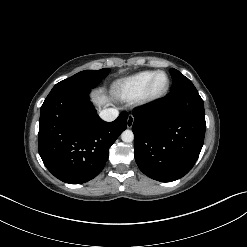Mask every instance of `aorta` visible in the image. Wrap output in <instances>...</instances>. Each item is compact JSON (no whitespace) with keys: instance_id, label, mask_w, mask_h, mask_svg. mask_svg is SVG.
<instances>
[{"instance_id":"obj_1","label":"aorta","mask_w":247,"mask_h":247,"mask_svg":"<svg viewBox=\"0 0 247 247\" xmlns=\"http://www.w3.org/2000/svg\"><path fill=\"white\" fill-rule=\"evenodd\" d=\"M121 139L123 142H132L134 140V134L131 130H125L121 134Z\"/></svg>"}]
</instances>
